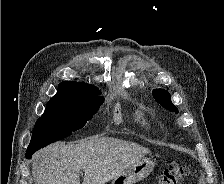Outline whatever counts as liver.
<instances>
[{
	"instance_id": "liver-1",
	"label": "liver",
	"mask_w": 224,
	"mask_h": 184,
	"mask_svg": "<svg viewBox=\"0 0 224 184\" xmlns=\"http://www.w3.org/2000/svg\"><path fill=\"white\" fill-rule=\"evenodd\" d=\"M136 143L95 136L77 143L57 142L38 151L32 159L35 184H105L128 166L149 154Z\"/></svg>"
}]
</instances>
